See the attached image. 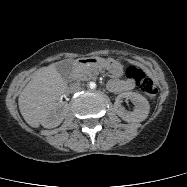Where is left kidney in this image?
<instances>
[{"mask_svg":"<svg viewBox=\"0 0 187 187\" xmlns=\"http://www.w3.org/2000/svg\"><path fill=\"white\" fill-rule=\"evenodd\" d=\"M122 99H129L135 105V109L132 112H127L121 106ZM115 111L123 120L127 122H142L149 113L150 105L146 98L135 92H125L118 95L115 104Z\"/></svg>","mask_w":187,"mask_h":187,"instance_id":"5707ae66","label":"left kidney"}]
</instances>
